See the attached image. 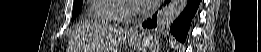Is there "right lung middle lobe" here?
Segmentation results:
<instances>
[{"mask_svg": "<svg viewBox=\"0 0 261 52\" xmlns=\"http://www.w3.org/2000/svg\"><path fill=\"white\" fill-rule=\"evenodd\" d=\"M82 8V1L79 0L73 5L72 20L79 14Z\"/></svg>", "mask_w": 261, "mask_h": 52, "instance_id": "right-lung-middle-lobe-1", "label": "right lung middle lobe"}]
</instances>
